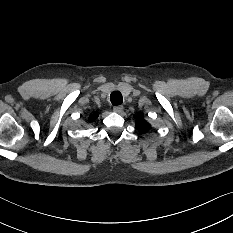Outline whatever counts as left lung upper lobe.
<instances>
[{
    "label": "left lung upper lobe",
    "mask_w": 233,
    "mask_h": 233,
    "mask_svg": "<svg viewBox=\"0 0 233 233\" xmlns=\"http://www.w3.org/2000/svg\"><path fill=\"white\" fill-rule=\"evenodd\" d=\"M135 124H136V128L141 133H146L150 129V124L147 123L143 118H138Z\"/></svg>",
    "instance_id": "5c2ea615"
}]
</instances>
